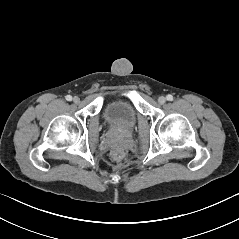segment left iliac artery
Masks as SVG:
<instances>
[{"mask_svg": "<svg viewBox=\"0 0 239 239\" xmlns=\"http://www.w3.org/2000/svg\"><path fill=\"white\" fill-rule=\"evenodd\" d=\"M166 98H167V100H168V101H172V100H173V96H172V95H170V94H169V95H167V96H166Z\"/></svg>", "mask_w": 239, "mask_h": 239, "instance_id": "obj_1", "label": "left iliac artery"}]
</instances>
